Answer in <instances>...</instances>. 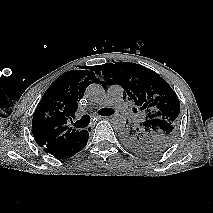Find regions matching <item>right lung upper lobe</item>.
Returning a JSON list of instances; mask_svg holds the SVG:
<instances>
[{
  "mask_svg": "<svg viewBox=\"0 0 213 213\" xmlns=\"http://www.w3.org/2000/svg\"><path fill=\"white\" fill-rule=\"evenodd\" d=\"M90 70H72L58 77L40 100L32 120V134L44 150L65 145L81 131L68 127L75 117L77 102L92 81L99 80Z\"/></svg>",
  "mask_w": 213,
  "mask_h": 213,
  "instance_id": "cb5924a9",
  "label": "right lung upper lobe"
}]
</instances>
